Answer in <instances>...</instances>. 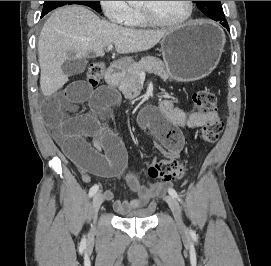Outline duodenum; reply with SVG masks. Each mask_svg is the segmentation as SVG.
<instances>
[{"label":"duodenum","mask_w":271,"mask_h":266,"mask_svg":"<svg viewBox=\"0 0 271 266\" xmlns=\"http://www.w3.org/2000/svg\"><path fill=\"white\" fill-rule=\"evenodd\" d=\"M124 63L120 60L113 61L107 69L105 80L110 87H116L123 75Z\"/></svg>","instance_id":"duodenum-1"}]
</instances>
